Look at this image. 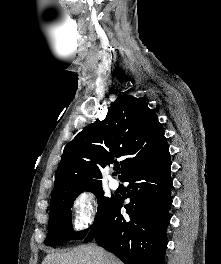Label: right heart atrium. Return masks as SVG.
I'll use <instances>...</instances> for the list:
<instances>
[{"label":"right heart atrium","instance_id":"obj_1","mask_svg":"<svg viewBox=\"0 0 221 264\" xmlns=\"http://www.w3.org/2000/svg\"><path fill=\"white\" fill-rule=\"evenodd\" d=\"M100 213V202L90 191L85 190L76 195L71 203L72 226L75 232L89 229Z\"/></svg>","mask_w":221,"mask_h":264}]
</instances>
